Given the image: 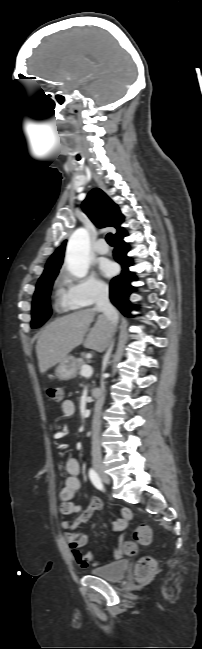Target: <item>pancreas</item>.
Returning a JSON list of instances; mask_svg holds the SVG:
<instances>
[{
	"mask_svg": "<svg viewBox=\"0 0 202 649\" xmlns=\"http://www.w3.org/2000/svg\"><path fill=\"white\" fill-rule=\"evenodd\" d=\"M86 365V362L83 360H78V370L82 369V366ZM78 374H81L80 372Z\"/></svg>",
	"mask_w": 202,
	"mask_h": 649,
	"instance_id": "1",
	"label": "pancreas"
}]
</instances>
